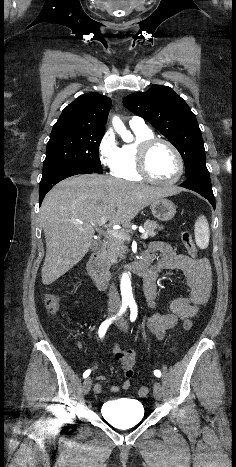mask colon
<instances>
[{
  "mask_svg": "<svg viewBox=\"0 0 236 467\" xmlns=\"http://www.w3.org/2000/svg\"><path fill=\"white\" fill-rule=\"evenodd\" d=\"M181 240H182V244L184 245V247L186 248V250L188 251V253L192 256V257H196L197 256V249H196V246L192 240V237H191V234L188 232V231H184L182 232L181 234ZM45 304H46V307H47V310L48 312L51 314V315H56L58 312H59V309H60V303H59V298L56 294L50 292L46 295V298H45ZM193 324H192V321L187 319L184 324H183V328L185 330H190L192 328ZM121 355H118L117 358H120ZM148 392V388L145 387V386H142L139 390V394L140 395H145L147 394Z\"/></svg>",
  "mask_w": 236,
  "mask_h": 467,
  "instance_id": "5ec220e1",
  "label": "colon"
}]
</instances>
